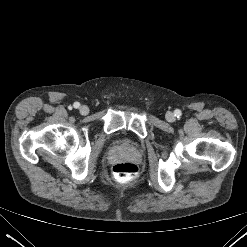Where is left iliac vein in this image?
Instances as JSON below:
<instances>
[{
  "label": "left iliac vein",
  "instance_id": "1",
  "mask_svg": "<svg viewBox=\"0 0 247 247\" xmlns=\"http://www.w3.org/2000/svg\"><path fill=\"white\" fill-rule=\"evenodd\" d=\"M166 120L169 121V122H173V121L175 120L174 114L171 113V112H168V113L166 114Z\"/></svg>",
  "mask_w": 247,
  "mask_h": 247
}]
</instances>
